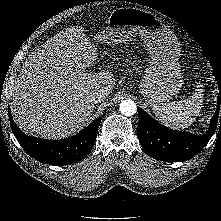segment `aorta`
Returning <instances> with one entry per match:
<instances>
[{"instance_id": "1", "label": "aorta", "mask_w": 221, "mask_h": 221, "mask_svg": "<svg viewBox=\"0 0 221 221\" xmlns=\"http://www.w3.org/2000/svg\"><path fill=\"white\" fill-rule=\"evenodd\" d=\"M119 110L125 116H132L136 113L137 107L135 102L129 99L120 103Z\"/></svg>"}]
</instances>
